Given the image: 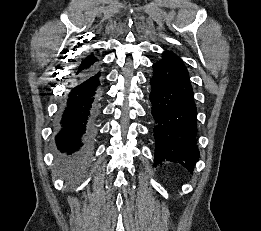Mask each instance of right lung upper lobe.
<instances>
[{"instance_id":"obj_1","label":"right lung upper lobe","mask_w":261,"mask_h":231,"mask_svg":"<svg viewBox=\"0 0 261 231\" xmlns=\"http://www.w3.org/2000/svg\"><path fill=\"white\" fill-rule=\"evenodd\" d=\"M97 62H98V59L95 56H93V55L87 56L86 58H84L82 60L80 65L76 68L74 76L76 77V76L82 75V74L88 72L89 70L95 68L97 66Z\"/></svg>"}]
</instances>
